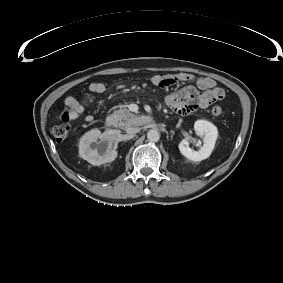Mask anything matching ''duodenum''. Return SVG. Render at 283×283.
Segmentation results:
<instances>
[{
    "label": "duodenum",
    "mask_w": 283,
    "mask_h": 283,
    "mask_svg": "<svg viewBox=\"0 0 283 283\" xmlns=\"http://www.w3.org/2000/svg\"><path fill=\"white\" fill-rule=\"evenodd\" d=\"M115 124H116V119L112 115L107 116V118H106V125L108 127L112 128V127L115 126Z\"/></svg>",
    "instance_id": "410a0bca"
}]
</instances>
